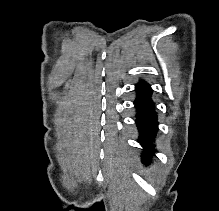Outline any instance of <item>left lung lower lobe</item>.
<instances>
[{
	"label": "left lung lower lobe",
	"instance_id": "obj_1",
	"mask_svg": "<svg viewBox=\"0 0 219 211\" xmlns=\"http://www.w3.org/2000/svg\"><path fill=\"white\" fill-rule=\"evenodd\" d=\"M135 88L137 92V97L134 101L137 111L136 125L141 137L139 142L145 150L142 153V161L144 164H148L151 159L146 152L150 153L155 149L153 141L158 129L157 113L155 112V103L151 99L152 89L150 85L141 81Z\"/></svg>",
	"mask_w": 219,
	"mask_h": 211
}]
</instances>
